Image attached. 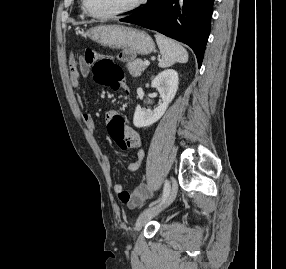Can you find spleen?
<instances>
[{
    "instance_id": "1",
    "label": "spleen",
    "mask_w": 286,
    "mask_h": 269,
    "mask_svg": "<svg viewBox=\"0 0 286 269\" xmlns=\"http://www.w3.org/2000/svg\"><path fill=\"white\" fill-rule=\"evenodd\" d=\"M155 39L162 55L158 63L159 67L166 68L176 62L186 63L188 61V53L180 43L161 34H156Z\"/></svg>"
}]
</instances>
